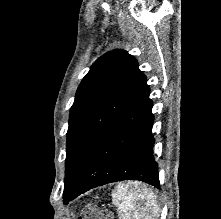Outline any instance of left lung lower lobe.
I'll use <instances>...</instances> for the list:
<instances>
[{
  "label": "left lung lower lobe",
  "mask_w": 221,
  "mask_h": 219,
  "mask_svg": "<svg viewBox=\"0 0 221 219\" xmlns=\"http://www.w3.org/2000/svg\"><path fill=\"white\" fill-rule=\"evenodd\" d=\"M150 89L114 121L95 147L66 203L80 194L122 180H139L160 187L158 167L153 158L154 137Z\"/></svg>",
  "instance_id": "1"
}]
</instances>
